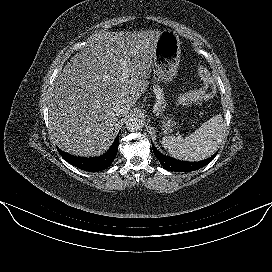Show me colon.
I'll return each mask as SVG.
<instances>
[{
  "mask_svg": "<svg viewBox=\"0 0 272 272\" xmlns=\"http://www.w3.org/2000/svg\"><path fill=\"white\" fill-rule=\"evenodd\" d=\"M199 75L203 81V87L198 91L186 93L178 97L174 103L175 110L180 111L188 106L201 103L213 97L215 94V85L209 71L201 67Z\"/></svg>",
  "mask_w": 272,
  "mask_h": 272,
  "instance_id": "1",
  "label": "colon"
}]
</instances>
